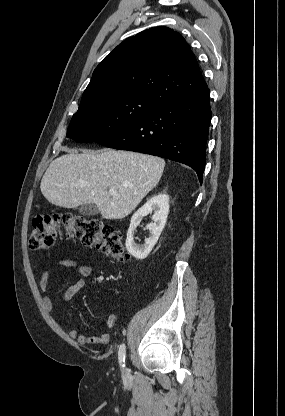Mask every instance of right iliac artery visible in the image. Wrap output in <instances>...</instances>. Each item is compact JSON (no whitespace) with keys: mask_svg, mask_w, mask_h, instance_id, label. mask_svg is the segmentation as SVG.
<instances>
[{"mask_svg":"<svg viewBox=\"0 0 285 416\" xmlns=\"http://www.w3.org/2000/svg\"><path fill=\"white\" fill-rule=\"evenodd\" d=\"M125 354H126V347L125 344L120 345L118 356H119V363L121 367H125Z\"/></svg>","mask_w":285,"mask_h":416,"instance_id":"1","label":"right iliac artery"}]
</instances>
